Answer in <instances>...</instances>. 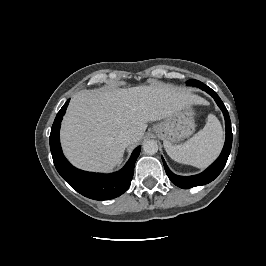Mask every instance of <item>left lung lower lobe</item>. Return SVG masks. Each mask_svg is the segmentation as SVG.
Returning <instances> with one entry per match:
<instances>
[{
	"label": "left lung lower lobe",
	"instance_id": "1",
	"mask_svg": "<svg viewBox=\"0 0 266 266\" xmlns=\"http://www.w3.org/2000/svg\"><path fill=\"white\" fill-rule=\"evenodd\" d=\"M187 85H193V86L199 87L200 89L206 91L208 94H210L214 98L217 105L222 110L224 118H225L226 140H225L223 150L220 156L217 158V160L211 166H209L205 171H203L202 173L198 175L188 176V177L175 175L169 170V168L167 167L163 159L164 168H165L166 174L168 175L169 179L176 186L180 188H184V189H189L195 186L205 185L213 181L221 173L222 169L224 168L227 162L228 156L230 154V151H231V146H232V130H231V121H230L229 113L225 105L219 98V96L216 94L214 90H212L210 87L206 86L200 81L194 80L192 82H188Z\"/></svg>",
	"mask_w": 266,
	"mask_h": 266
}]
</instances>
